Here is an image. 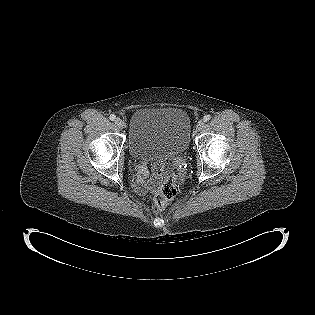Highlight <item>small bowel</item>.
<instances>
[{
    "instance_id": "small-bowel-1",
    "label": "small bowel",
    "mask_w": 315,
    "mask_h": 315,
    "mask_svg": "<svg viewBox=\"0 0 315 315\" xmlns=\"http://www.w3.org/2000/svg\"><path fill=\"white\" fill-rule=\"evenodd\" d=\"M148 176L149 172L147 168L144 165H140L138 167V174L134 180L135 190L139 194L144 195L148 192H156L164 178L163 167L160 164L155 163L153 166V176L149 181H147Z\"/></svg>"
}]
</instances>
